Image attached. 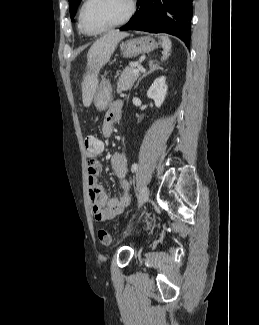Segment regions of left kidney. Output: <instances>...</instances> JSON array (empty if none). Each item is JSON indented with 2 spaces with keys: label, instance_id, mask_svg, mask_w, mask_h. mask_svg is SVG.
<instances>
[{
  "label": "left kidney",
  "instance_id": "obj_1",
  "mask_svg": "<svg viewBox=\"0 0 259 325\" xmlns=\"http://www.w3.org/2000/svg\"><path fill=\"white\" fill-rule=\"evenodd\" d=\"M167 89L166 78L161 76L153 82L147 91V96L154 100L157 108L161 107L163 104L167 94Z\"/></svg>",
  "mask_w": 259,
  "mask_h": 325
}]
</instances>
